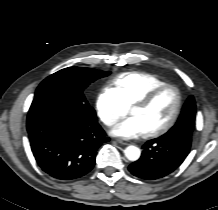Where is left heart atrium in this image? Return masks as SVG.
I'll return each instance as SVG.
<instances>
[{
    "label": "left heart atrium",
    "mask_w": 218,
    "mask_h": 210,
    "mask_svg": "<svg viewBox=\"0 0 218 210\" xmlns=\"http://www.w3.org/2000/svg\"><path fill=\"white\" fill-rule=\"evenodd\" d=\"M146 133L144 125L136 116L127 118L112 130L113 135L122 138H136Z\"/></svg>",
    "instance_id": "left-heart-atrium-1"
}]
</instances>
